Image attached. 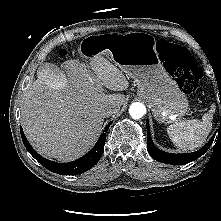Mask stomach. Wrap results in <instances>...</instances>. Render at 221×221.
Returning <instances> with one entry per match:
<instances>
[{
	"instance_id": "obj_1",
	"label": "stomach",
	"mask_w": 221,
	"mask_h": 221,
	"mask_svg": "<svg viewBox=\"0 0 221 221\" xmlns=\"http://www.w3.org/2000/svg\"><path fill=\"white\" fill-rule=\"evenodd\" d=\"M80 54L88 61L97 55H109L116 66L134 79L138 95L148 102L159 123H175L187 112L188 100L165 71L152 35L113 32L89 37L83 41Z\"/></svg>"
}]
</instances>
